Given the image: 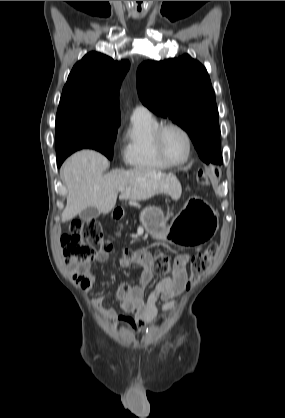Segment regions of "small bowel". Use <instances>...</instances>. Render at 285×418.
I'll return each mask as SVG.
<instances>
[{
    "instance_id": "c3829d8e",
    "label": "small bowel",
    "mask_w": 285,
    "mask_h": 418,
    "mask_svg": "<svg viewBox=\"0 0 285 418\" xmlns=\"http://www.w3.org/2000/svg\"><path fill=\"white\" fill-rule=\"evenodd\" d=\"M192 256L190 254H181L174 259V272L171 277L160 280L148 297L144 298L146 286L150 283L154 276L153 257L146 252H138L132 258L121 254L118 256V264L122 268H130L137 266L141 268L139 283L130 285L123 283L119 286L116 297L125 316L120 319L129 325L134 332H139L142 328L152 323L159 309L158 302H164L161 307L162 312L172 310L176 304L177 297L183 292L187 283L185 267L190 262ZM108 259L106 249H100L95 255V262L102 264ZM68 266L73 271H86L89 273L91 266L82 265L77 262L68 261ZM91 278V286H94V276L89 274ZM114 318V314L110 313Z\"/></svg>"
}]
</instances>
